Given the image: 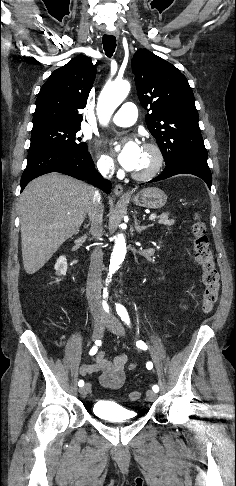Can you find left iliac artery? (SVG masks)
Here are the masks:
<instances>
[{
  "label": "left iliac artery",
  "instance_id": "left-iliac-artery-1",
  "mask_svg": "<svg viewBox=\"0 0 236 486\" xmlns=\"http://www.w3.org/2000/svg\"><path fill=\"white\" fill-rule=\"evenodd\" d=\"M116 310H117L118 315L122 319V321L125 324H127L128 326H130V318H129V315H128L126 308L121 304H116ZM136 345L143 350H147V345L143 341H137ZM146 367L149 370L152 369L153 368L152 362H147ZM152 389H153L154 392L159 391V387L157 385H154L152 387Z\"/></svg>",
  "mask_w": 236,
  "mask_h": 486
}]
</instances>
